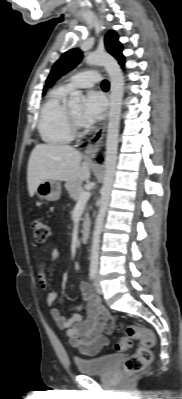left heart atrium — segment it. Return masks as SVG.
Wrapping results in <instances>:
<instances>
[{
	"label": "left heart atrium",
	"mask_w": 182,
	"mask_h": 399,
	"mask_svg": "<svg viewBox=\"0 0 182 399\" xmlns=\"http://www.w3.org/2000/svg\"><path fill=\"white\" fill-rule=\"evenodd\" d=\"M106 108L104 96L99 92H90L86 96L84 107L80 114L83 126H90L103 117Z\"/></svg>",
	"instance_id": "39dd6f15"
}]
</instances>
